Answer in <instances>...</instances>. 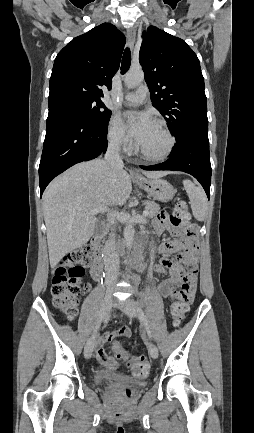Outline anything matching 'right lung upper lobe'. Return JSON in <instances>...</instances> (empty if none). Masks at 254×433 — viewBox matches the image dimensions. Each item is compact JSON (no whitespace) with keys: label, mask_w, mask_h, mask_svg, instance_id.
I'll list each match as a JSON object with an SVG mask.
<instances>
[{"label":"right lung upper lobe","mask_w":254,"mask_h":433,"mask_svg":"<svg viewBox=\"0 0 254 433\" xmlns=\"http://www.w3.org/2000/svg\"><path fill=\"white\" fill-rule=\"evenodd\" d=\"M125 42L124 34L110 23H103L69 42L54 61L48 106L72 98L103 97L100 87L111 88Z\"/></svg>","instance_id":"1"}]
</instances>
